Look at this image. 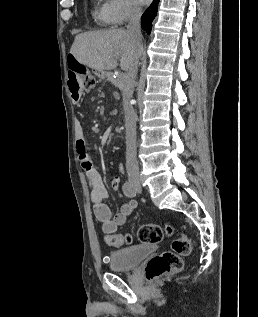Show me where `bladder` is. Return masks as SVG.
Wrapping results in <instances>:
<instances>
[{
	"instance_id": "bladder-1",
	"label": "bladder",
	"mask_w": 258,
	"mask_h": 317,
	"mask_svg": "<svg viewBox=\"0 0 258 317\" xmlns=\"http://www.w3.org/2000/svg\"><path fill=\"white\" fill-rule=\"evenodd\" d=\"M157 250L155 245L138 244L113 251L109 255V265L114 271H127L135 268L145 258Z\"/></svg>"
}]
</instances>
